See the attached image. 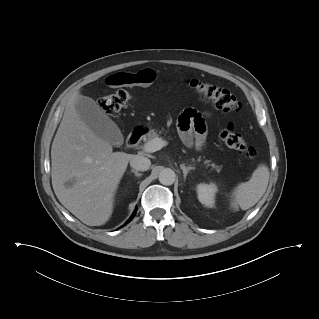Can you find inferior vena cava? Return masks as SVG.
Masks as SVG:
<instances>
[{"instance_id":"inferior-vena-cava-1","label":"inferior vena cava","mask_w":319,"mask_h":319,"mask_svg":"<svg viewBox=\"0 0 319 319\" xmlns=\"http://www.w3.org/2000/svg\"><path fill=\"white\" fill-rule=\"evenodd\" d=\"M151 161L141 155H133L130 159V166L137 171H146L150 168Z\"/></svg>"}]
</instances>
